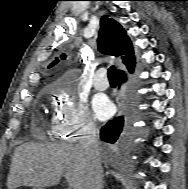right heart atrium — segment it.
Here are the masks:
<instances>
[{"instance_id": "obj_1", "label": "right heart atrium", "mask_w": 188, "mask_h": 189, "mask_svg": "<svg viewBox=\"0 0 188 189\" xmlns=\"http://www.w3.org/2000/svg\"><path fill=\"white\" fill-rule=\"evenodd\" d=\"M56 100L52 120V130L56 136L74 142L95 132V120L84 102L66 90L59 91Z\"/></svg>"}]
</instances>
